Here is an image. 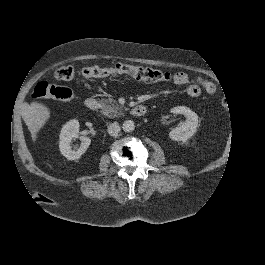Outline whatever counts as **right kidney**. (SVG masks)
<instances>
[{
	"mask_svg": "<svg viewBox=\"0 0 265 265\" xmlns=\"http://www.w3.org/2000/svg\"><path fill=\"white\" fill-rule=\"evenodd\" d=\"M79 122L78 120H70L63 125L60 132L59 149L63 156L68 160H76L81 157L82 154L88 149L91 139L86 136H80L81 145L77 150H72L70 144L73 138H77L79 135Z\"/></svg>",
	"mask_w": 265,
	"mask_h": 265,
	"instance_id": "ca27d5eb",
	"label": "right kidney"
}]
</instances>
